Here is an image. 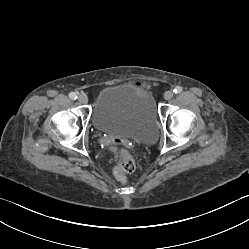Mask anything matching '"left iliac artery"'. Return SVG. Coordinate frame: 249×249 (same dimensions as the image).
Returning <instances> with one entry per match:
<instances>
[{
  "instance_id": "44dca946",
  "label": "left iliac artery",
  "mask_w": 249,
  "mask_h": 249,
  "mask_svg": "<svg viewBox=\"0 0 249 249\" xmlns=\"http://www.w3.org/2000/svg\"><path fill=\"white\" fill-rule=\"evenodd\" d=\"M181 91H182V87H180V86H176V87L174 88V90H173V92H174L175 94H179V93H181Z\"/></svg>"
}]
</instances>
